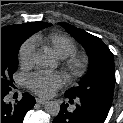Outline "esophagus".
<instances>
[{
	"label": "esophagus",
	"mask_w": 123,
	"mask_h": 123,
	"mask_svg": "<svg viewBox=\"0 0 123 123\" xmlns=\"http://www.w3.org/2000/svg\"><path fill=\"white\" fill-rule=\"evenodd\" d=\"M36 101H37V103H39V104H41V105H45V104L47 103L46 100L40 99V98H37Z\"/></svg>",
	"instance_id": "1"
}]
</instances>
